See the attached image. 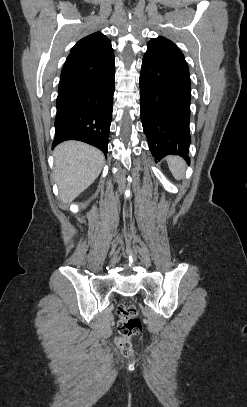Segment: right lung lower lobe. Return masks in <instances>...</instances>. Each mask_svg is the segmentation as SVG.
Wrapping results in <instances>:
<instances>
[{
	"label": "right lung lower lobe",
	"instance_id": "obj_1",
	"mask_svg": "<svg viewBox=\"0 0 247 407\" xmlns=\"http://www.w3.org/2000/svg\"><path fill=\"white\" fill-rule=\"evenodd\" d=\"M114 89V56L60 85L52 148L65 140H78L99 148L106 156Z\"/></svg>",
	"mask_w": 247,
	"mask_h": 407
}]
</instances>
